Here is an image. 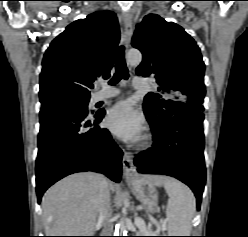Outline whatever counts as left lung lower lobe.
Masks as SVG:
<instances>
[{"mask_svg": "<svg viewBox=\"0 0 248 237\" xmlns=\"http://www.w3.org/2000/svg\"><path fill=\"white\" fill-rule=\"evenodd\" d=\"M203 119L202 112L183 111L160 129L151 126L153 147L134 159L140 173L168 175L188 185L197 198L198 209L206 180Z\"/></svg>", "mask_w": 248, "mask_h": 237, "instance_id": "left-lung-lower-lobe-1", "label": "left lung lower lobe"}]
</instances>
